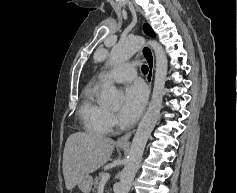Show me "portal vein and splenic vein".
<instances>
[{
  "mask_svg": "<svg viewBox=\"0 0 237 193\" xmlns=\"http://www.w3.org/2000/svg\"><path fill=\"white\" fill-rule=\"evenodd\" d=\"M110 179V174L108 172L104 173L101 178V183H106Z\"/></svg>",
  "mask_w": 237,
  "mask_h": 193,
  "instance_id": "obj_1",
  "label": "portal vein and splenic vein"
}]
</instances>
